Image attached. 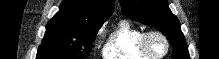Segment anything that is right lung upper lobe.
<instances>
[{"label": "right lung upper lobe", "mask_w": 219, "mask_h": 59, "mask_svg": "<svg viewBox=\"0 0 219 59\" xmlns=\"http://www.w3.org/2000/svg\"><path fill=\"white\" fill-rule=\"evenodd\" d=\"M113 10L114 0H64L50 21L101 26Z\"/></svg>", "instance_id": "obj_1"}]
</instances>
